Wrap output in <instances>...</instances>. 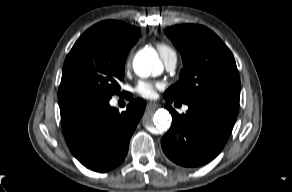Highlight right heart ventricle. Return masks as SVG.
Instances as JSON below:
<instances>
[{
	"instance_id": "right-heart-ventricle-1",
	"label": "right heart ventricle",
	"mask_w": 292,
	"mask_h": 192,
	"mask_svg": "<svg viewBox=\"0 0 292 192\" xmlns=\"http://www.w3.org/2000/svg\"><path fill=\"white\" fill-rule=\"evenodd\" d=\"M157 48L163 59H166L169 55L175 53L174 50L165 43L157 44Z\"/></svg>"
}]
</instances>
